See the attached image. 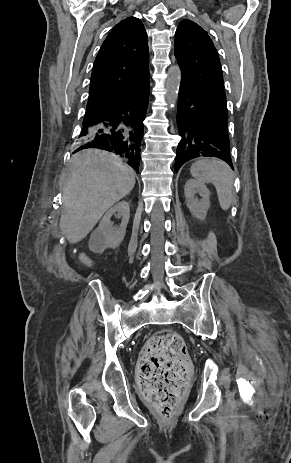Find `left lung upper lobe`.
Instances as JSON below:
<instances>
[{
	"mask_svg": "<svg viewBox=\"0 0 291 463\" xmlns=\"http://www.w3.org/2000/svg\"><path fill=\"white\" fill-rule=\"evenodd\" d=\"M175 57L181 82L198 87L226 105L221 63L207 32L190 20H183L175 33Z\"/></svg>",
	"mask_w": 291,
	"mask_h": 463,
	"instance_id": "1",
	"label": "left lung upper lobe"
}]
</instances>
